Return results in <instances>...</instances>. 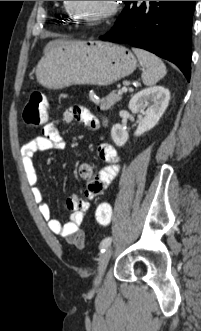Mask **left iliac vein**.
Masks as SVG:
<instances>
[{"label":"left iliac vein","instance_id":"4c4485c4","mask_svg":"<svg viewBox=\"0 0 201 331\" xmlns=\"http://www.w3.org/2000/svg\"><path fill=\"white\" fill-rule=\"evenodd\" d=\"M111 255H112L111 246L107 247L105 249V251L101 254L100 260H99L98 275L95 279V285H98L101 282L102 277H103V275L106 271V268H107V265H108V262L110 260Z\"/></svg>","mask_w":201,"mask_h":331}]
</instances>
